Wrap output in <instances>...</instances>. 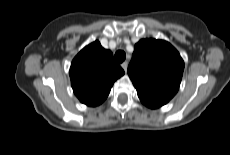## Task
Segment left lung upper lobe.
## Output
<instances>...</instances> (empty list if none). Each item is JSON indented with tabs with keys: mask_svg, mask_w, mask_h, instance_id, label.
Instances as JSON below:
<instances>
[{
	"mask_svg": "<svg viewBox=\"0 0 230 155\" xmlns=\"http://www.w3.org/2000/svg\"><path fill=\"white\" fill-rule=\"evenodd\" d=\"M183 70L184 61L169 42L142 39L134 47L128 75L141 102L158 108L177 93Z\"/></svg>",
	"mask_w": 230,
	"mask_h": 155,
	"instance_id": "1",
	"label": "left lung upper lobe"
}]
</instances>
